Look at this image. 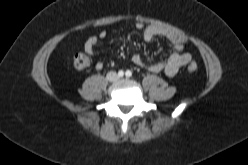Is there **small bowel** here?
Here are the masks:
<instances>
[{"mask_svg":"<svg viewBox=\"0 0 248 165\" xmlns=\"http://www.w3.org/2000/svg\"><path fill=\"white\" fill-rule=\"evenodd\" d=\"M136 29L143 32V37L146 41L157 38L165 40L172 46L173 52L168 58L152 63H147L141 55L134 54L131 60L135 65L147 68L155 73L162 72L171 77L176 75L181 67L188 65L192 61V55L185 51L186 39L182 35L155 25H144L142 23H137ZM107 36V31L102 30L98 35L88 37L83 44L86 54L93 56L99 40L105 39ZM103 67L104 63L102 61H97L94 64L96 70H102Z\"/></svg>","mask_w":248,"mask_h":165,"instance_id":"small-bowel-1","label":"small bowel"}]
</instances>
